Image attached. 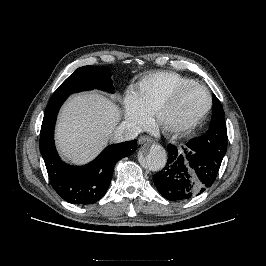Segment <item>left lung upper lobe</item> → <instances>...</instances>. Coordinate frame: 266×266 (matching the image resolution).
Instances as JSON below:
<instances>
[{
  "mask_svg": "<svg viewBox=\"0 0 266 266\" xmlns=\"http://www.w3.org/2000/svg\"><path fill=\"white\" fill-rule=\"evenodd\" d=\"M212 113L210 129L205 135L192 139L208 151H211L212 146H215L217 142L227 145V129L223 107L215 95H213Z\"/></svg>",
  "mask_w": 266,
  "mask_h": 266,
  "instance_id": "5c2ea615",
  "label": "left lung upper lobe"
}]
</instances>
